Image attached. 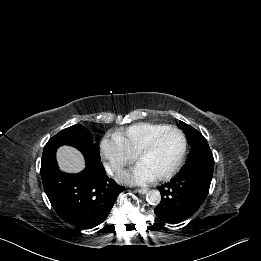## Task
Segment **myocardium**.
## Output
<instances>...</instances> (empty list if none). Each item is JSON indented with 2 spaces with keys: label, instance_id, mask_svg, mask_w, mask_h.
<instances>
[{
  "label": "myocardium",
  "instance_id": "1",
  "mask_svg": "<svg viewBox=\"0 0 261 261\" xmlns=\"http://www.w3.org/2000/svg\"><path fill=\"white\" fill-rule=\"evenodd\" d=\"M168 132H174L177 133L182 141V147H181V152L179 155V158L177 160V162L175 163V165L166 173L161 174L159 176H156L155 178L157 180H167L170 179L171 177H173L182 167L184 160H185V156H186V152H187V140L185 135L183 134V132L175 127H167L164 130H161L160 132L156 133L153 137L150 138V140L137 152L136 154V160L139 162V160L146 155L147 153H149L150 151H152V149L155 147L157 141L166 133Z\"/></svg>",
  "mask_w": 261,
  "mask_h": 261
}]
</instances>
